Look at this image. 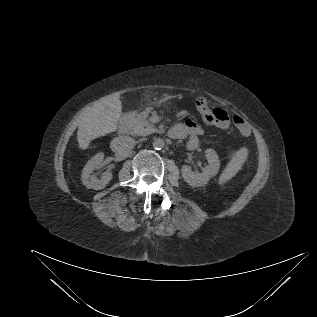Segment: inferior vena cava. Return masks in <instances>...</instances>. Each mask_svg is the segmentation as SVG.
Here are the masks:
<instances>
[{
	"mask_svg": "<svg viewBox=\"0 0 317 317\" xmlns=\"http://www.w3.org/2000/svg\"><path fill=\"white\" fill-rule=\"evenodd\" d=\"M135 146V140L130 136H119L111 141V149L119 154L129 153Z\"/></svg>",
	"mask_w": 317,
	"mask_h": 317,
	"instance_id": "1",
	"label": "inferior vena cava"
}]
</instances>
